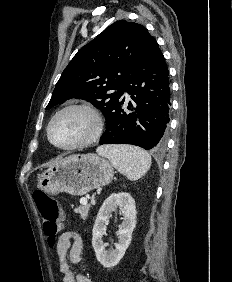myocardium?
Segmentation results:
<instances>
[{
	"label": "myocardium",
	"instance_id": "1",
	"mask_svg": "<svg viewBox=\"0 0 232 282\" xmlns=\"http://www.w3.org/2000/svg\"><path fill=\"white\" fill-rule=\"evenodd\" d=\"M72 110H81L87 112L94 120V129L92 133L84 140H81L79 142L70 145H59L55 143L54 140L52 139L51 136L52 125L59 116ZM103 128H104V123L99 111L93 105L82 102V103H71L65 105L64 107L56 111L47 124L46 133H47L48 141L55 148L60 150H76V149L85 148L97 142L103 133Z\"/></svg>",
	"mask_w": 232,
	"mask_h": 282
}]
</instances>
